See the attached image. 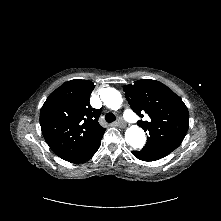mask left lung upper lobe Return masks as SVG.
<instances>
[{"label": "left lung upper lobe", "instance_id": "left-lung-upper-lobe-1", "mask_svg": "<svg viewBox=\"0 0 221 221\" xmlns=\"http://www.w3.org/2000/svg\"><path fill=\"white\" fill-rule=\"evenodd\" d=\"M125 97L137 115L148 114V121L138 125L149 136L141 150L147 154L164 157L174 151L183 141L189 126V112L182 101L163 83L146 79L123 88Z\"/></svg>", "mask_w": 221, "mask_h": 221}]
</instances>
